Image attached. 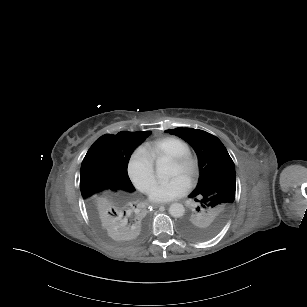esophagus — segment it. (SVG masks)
Masks as SVG:
<instances>
[{"label":"esophagus","instance_id":"esophagus-1","mask_svg":"<svg viewBox=\"0 0 307 307\" xmlns=\"http://www.w3.org/2000/svg\"><path fill=\"white\" fill-rule=\"evenodd\" d=\"M152 206H153L154 208H158V207H160V206H161V204H158V203H152Z\"/></svg>","mask_w":307,"mask_h":307}]
</instances>
